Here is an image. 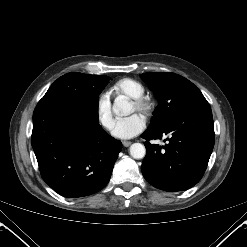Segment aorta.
<instances>
[{"instance_id":"obj_1","label":"aorta","mask_w":247,"mask_h":247,"mask_svg":"<svg viewBox=\"0 0 247 247\" xmlns=\"http://www.w3.org/2000/svg\"><path fill=\"white\" fill-rule=\"evenodd\" d=\"M131 104L123 97L115 99L113 104V112L118 116H126L131 113ZM146 149L141 143H134L130 146V155L134 159H142L145 157Z\"/></svg>"}]
</instances>
